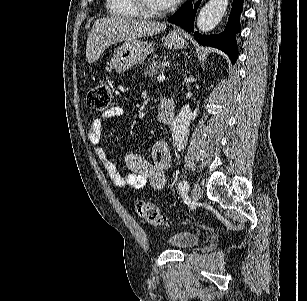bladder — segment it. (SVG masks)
Segmentation results:
<instances>
[{
    "instance_id": "1",
    "label": "bladder",
    "mask_w": 307,
    "mask_h": 301,
    "mask_svg": "<svg viewBox=\"0 0 307 301\" xmlns=\"http://www.w3.org/2000/svg\"><path fill=\"white\" fill-rule=\"evenodd\" d=\"M199 243V236L188 232H174L168 235L167 244L178 250H189Z\"/></svg>"
}]
</instances>
